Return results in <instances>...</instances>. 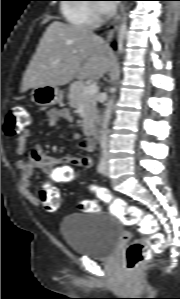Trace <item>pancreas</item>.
<instances>
[{
  "instance_id": "pancreas-1",
  "label": "pancreas",
  "mask_w": 180,
  "mask_h": 299,
  "mask_svg": "<svg viewBox=\"0 0 180 299\" xmlns=\"http://www.w3.org/2000/svg\"><path fill=\"white\" fill-rule=\"evenodd\" d=\"M85 84L83 82L77 81L69 86L68 98L70 100L69 104L72 108L78 109L81 104L84 107V119L82 120V126L87 129L93 120L97 116L96 109V95H83V89Z\"/></svg>"
}]
</instances>
